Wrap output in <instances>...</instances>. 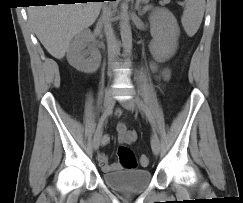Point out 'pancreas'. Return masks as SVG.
Segmentation results:
<instances>
[{
  "label": "pancreas",
  "instance_id": "1",
  "mask_svg": "<svg viewBox=\"0 0 243 203\" xmlns=\"http://www.w3.org/2000/svg\"><path fill=\"white\" fill-rule=\"evenodd\" d=\"M140 1V0H139ZM143 3H147L148 0H141ZM170 2V0H163L164 4H168ZM149 9L148 6L144 7V11H147Z\"/></svg>",
  "mask_w": 243,
  "mask_h": 203
}]
</instances>
